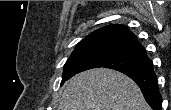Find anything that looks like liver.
Returning a JSON list of instances; mask_svg holds the SVG:
<instances>
[{"instance_id":"1","label":"liver","mask_w":171,"mask_h":110,"mask_svg":"<svg viewBox=\"0 0 171 110\" xmlns=\"http://www.w3.org/2000/svg\"><path fill=\"white\" fill-rule=\"evenodd\" d=\"M58 110H150L138 85L121 72L97 68L73 76Z\"/></svg>"}]
</instances>
